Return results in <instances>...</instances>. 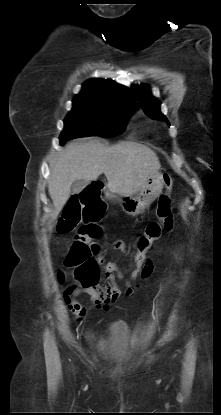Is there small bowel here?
Returning a JSON list of instances; mask_svg holds the SVG:
<instances>
[{
	"instance_id": "1",
	"label": "small bowel",
	"mask_w": 221,
	"mask_h": 415,
	"mask_svg": "<svg viewBox=\"0 0 221 415\" xmlns=\"http://www.w3.org/2000/svg\"><path fill=\"white\" fill-rule=\"evenodd\" d=\"M172 227V220L164 225L163 229L170 230ZM112 249L121 250L123 252H127L128 248L126 243L123 240H116L111 245ZM131 267V263L129 265ZM116 272H119L120 275H123L122 270L123 267L120 265ZM154 270L153 262L148 258V262L146 263V269L141 271L138 275L141 279H147ZM109 280L108 287L103 291L98 289L95 286H83V287H70L65 292V299L68 304L70 311L79 319H82L87 312V309L76 300V297L81 294L85 293L88 294L92 300V302L96 305V307H103L107 309L109 307V303L117 300L122 292L121 289L118 287L116 282H112L111 279ZM129 284V281L126 282V285ZM137 288L136 284L132 285L131 289L126 288V294L131 295L135 289Z\"/></svg>"
}]
</instances>
